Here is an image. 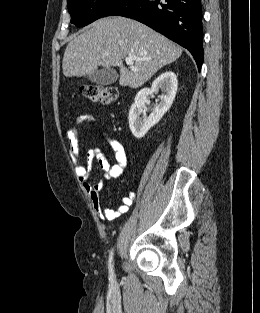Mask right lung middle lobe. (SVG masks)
I'll return each instance as SVG.
<instances>
[{"mask_svg": "<svg viewBox=\"0 0 260 313\" xmlns=\"http://www.w3.org/2000/svg\"><path fill=\"white\" fill-rule=\"evenodd\" d=\"M121 0H68L71 22L85 26L101 17Z\"/></svg>", "mask_w": 260, "mask_h": 313, "instance_id": "1", "label": "right lung middle lobe"}]
</instances>
